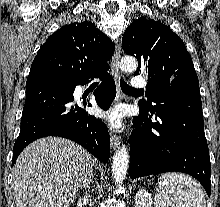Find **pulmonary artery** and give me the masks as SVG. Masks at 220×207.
<instances>
[{
  "instance_id": "e3ab8cb5",
  "label": "pulmonary artery",
  "mask_w": 220,
  "mask_h": 207,
  "mask_svg": "<svg viewBox=\"0 0 220 207\" xmlns=\"http://www.w3.org/2000/svg\"><path fill=\"white\" fill-rule=\"evenodd\" d=\"M131 85L135 89H143V88H146L147 82L142 77H135L133 78Z\"/></svg>"
}]
</instances>
